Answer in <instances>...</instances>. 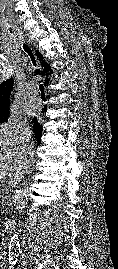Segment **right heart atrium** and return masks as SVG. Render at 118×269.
Segmentation results:
<instances>
[{
    "mask_svg": "<svg viewBox=\"0 0 118 269\" xmlns=\"http://www.w3.org/2000/svg\"><path fill=\"white\" fill-rule=\"evenodd\" d=\"M12 120H18L19 119V113L17 111H14L11 116Z\"/></svg>",
    "mask_w": 118,
    "mask_h": 269,
    "instance_id": "obj_1",
    "label": "right heart atrium"
}]
</instances>
